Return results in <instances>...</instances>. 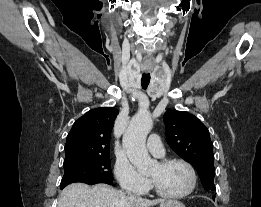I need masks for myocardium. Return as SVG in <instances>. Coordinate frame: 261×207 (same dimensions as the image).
Returning a JSON list of instances; mask_svg holds the SVG:
<instances>
[{"label": "myocardium", "mask_w": 261, "mask_h": 207, "mask_svg": "<svg viewBox=\"0 0 261 207\" xmlns=\"http://www.w3.org/2000/svg\"><path fill=\"white\" fill-rule=\"evenodd\" d=\"M158 163L162 166H167V165H171V164H180V165L184 166L188 171L190 181H189L188 187L183 192L167 193V192H164L163 190H161L159 187H157L154 184V182L150 179L151 187L157 195H159L160 197L166 198V199H182V198L187 197L194 191V189L196 187L197 177H196V173H195L193 166L189 162H187L184 159H180V158H166V159L160 160Z\"/></svg>", "instance_id": "1"}]
</instances>
